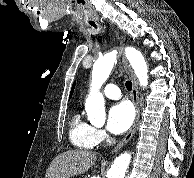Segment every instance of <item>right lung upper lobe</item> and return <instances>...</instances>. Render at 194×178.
<instances>
[{"label": "right lung upper lobe", "instance_id": "1", "mask_svg": "<svg viewBox=\"0 0 194 178\" xmlns=\"http://www.w3.org/2000/svg\"><path fill=\"white\" fill-rule=\"evenodd\" d=\"M74 86H75V83L72 86L71 93H70V97L72 96V93H73V90H74Z\"/></svg>", "mask_w": 194, "mask_h": 178}]
</instances>
